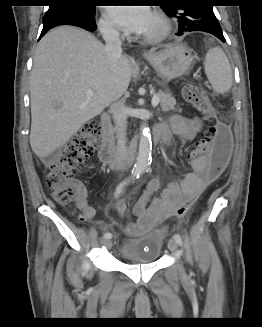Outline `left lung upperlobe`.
Returning a JSON list of instances; mask_svg holds the SVG:
<instances>
[{
	"label": "left lung upper lobe",
	"mask_w": 262,
	"mask_h": 327,
	"mask_svg": "<svg viewBox=\"0 0 262 327\" xmlns=\"http://www.w3.org/2000/svg\"><path fill=\"white\" fill-rule=\"evenodd\" d=\"M162 6L164 12L178 21V32L203 31L213 35H222V29L213 13L212 5H190L186 0L168 1Z\"/></svg>",
	"instance_id": "5c2ea615"
}]
</instances>
